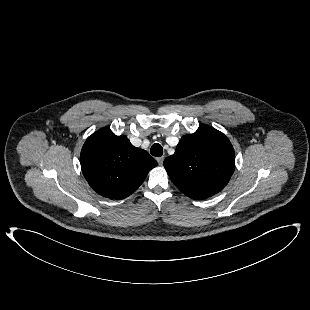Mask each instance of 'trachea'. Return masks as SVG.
I'll list each match as a JSON object with an SVG mask.
<instances>
[{
	"label": "trachea",
	"instance_id": "obj_1",
	"mask_svg": "<svg viewBox=\"0 0 310 310\" xmlns=\"http://www.w3.org/2000/svg\"><path fill=\"white\" fill-rule=\"evenodd\" d=\"M150 153H151V155H153L155 157H160L163 155V148L160 144L155 143L152 145V147L150 149Z\"/></svg>",
	"mask_w": 310,
	"mask_h": 310
}]
</instances>
